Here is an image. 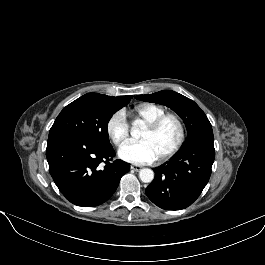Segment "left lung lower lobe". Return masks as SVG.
<instances>
[{
	"instance_id": "0a47b994",
	"label": "left lung lower lobe",
	"mask_w": 265,
	"mask_h": 265,
	"mask_svg": "<svg viewBox=\"0 0 265 265\" xmlns=\"http://www.w3.org/2000/svg\"><path fill=\"white\" fill-rule=\"evenodd\" d=\"M212 128L189 136L178 152L154 169L155 178L145 190L148 198L165 210L190 206L209 181L215 158Z\"/></svg>"
}]
</instances>
